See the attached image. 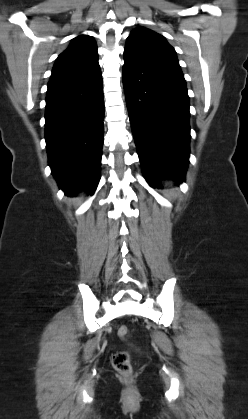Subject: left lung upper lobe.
I'll return each instance as SVG.
<instances>
[{
	"label": "left lung upper lobe",
	"mask_w": 248,
	"mask_h": 419,
	"mask_svg": "<svg viewBox=\"0 0 248 419\" xmlns=\"http://www.w3.org/2000/svg\"><path fill=\"white\" fill-rule=\"evenodd\" d=\"M133 57L182 72L174 48L152 30L139 27L127 38L125 51Z\"/></svg>",
	"instance_id": "left-lung-upper-lobe-1"
}]
</instances>
